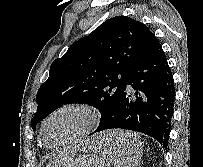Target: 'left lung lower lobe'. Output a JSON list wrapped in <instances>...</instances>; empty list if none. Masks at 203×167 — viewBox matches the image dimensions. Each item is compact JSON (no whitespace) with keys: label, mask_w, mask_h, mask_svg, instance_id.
<instances>
[{"label":"left lung lower lobe","mask_w":203,"mask_h":167,"mask_svg":"<svg viewBox=\"0 0 203 167\" xmlns=\"http://www.w3.org/2000/svg\"><path fill=\"white\" fill-rule=\"evenodd\" d=\"M174 102L173 75L157 40L131 69L111 117L95 132L111 128L137 131L153 137L167 149ZM119 144L102 142L100 147L117 149Z\"/></svg>","instance_id":"0a47b994"}]
</instances>
